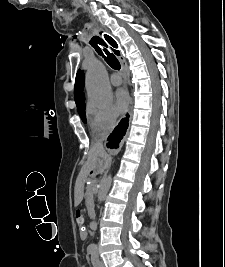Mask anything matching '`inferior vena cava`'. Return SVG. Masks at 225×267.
I'll return each instance as SVG.
<instances>
[{"label":"inferior vena cava","instance_id":"602c4592","mask_svg":"<svg viewBox=\"0 0 225 267\" xmlns=\"http://www.w3.org/2000/svg\"><path fill=\"white\" fill-rule=\"evenodd\" d=\"M108 135V131H104L101 135V138L98 140L97 144L103 147V140H105L107 138Z\"/></svg>","mask_w":225,"mask_h":267}]
</instances>
